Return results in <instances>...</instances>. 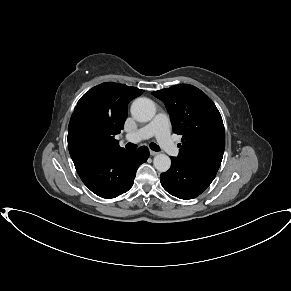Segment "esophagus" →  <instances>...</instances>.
<instances>
[{
  "instance_id": "esophagus-1",
  "label": "esophagus",
  "mask_w": 291,
  "mask_h": 291,
  "mask_svg": "<svg viewBox=\"0 0 291 291\" xmlns=\"http://www.w3.org/2000/svg\"><path fill=\"white\" fill-rule=\"evenodd\" d=\"M157 154H158V152L153 151V150H150V155L155 156V155H157Z\"/></svg>"
}]
</instances>
